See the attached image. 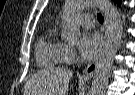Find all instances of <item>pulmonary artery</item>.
Returning <instances> with one entry per match:
<instances>
[{
    "mask_svg": "<svg viewBox=\"0 0 135 95\" xmlns=\"http://www.w3.org/2000/svg\"><path fill=\"white\" fill-rule=\"evenodd\" d=\"M81 24L86 28H91L93 25V18L90 14L86 13L79 17Z\"/></svg>",
    "mask_w": 135,
    "mask_h": 95,
    "instance_id": "e3ab8cb5",
    "label": "pulmonary artery"
}]
</instances>
